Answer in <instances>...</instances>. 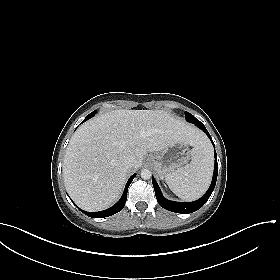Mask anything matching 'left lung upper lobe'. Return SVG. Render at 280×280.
Returning a JSON list of instances; mask_svg holds the SVG:
<instances>
[{"label": "left lung upper lobe", "mask_w": 280, "mask_h": 280, "mask_svg": "<svg viewBox=\"0 0 280 280\" xmlns=\"http://www.w3.org/2000/svg\"><path fill=\"white\" fill-rule=\"evenodd\" d=\"M185 118L188 122L193 123V121L198 122L199 120L196 119L192 114L189 112H185ZM194 124V123H193Z\"/></svg>", "instance_id": "1"}]
</instances>
